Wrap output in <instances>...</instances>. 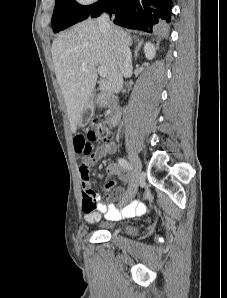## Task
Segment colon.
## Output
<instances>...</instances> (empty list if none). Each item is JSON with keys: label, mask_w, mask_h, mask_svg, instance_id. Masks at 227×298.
Masks as SVG:
<instances>
[{"label": "colon", "mask_w": 227, "mask_h": 298, "mask_svg": "<svg viewBox=\"0 0 227 298\" xmlns=\"http://www.w3.org/2000/svg\"><path fill=\"white\" fill-rule=\"evenodd\" d=\"M86 134L87 139H85V142H109L112 139V133L109 127L101 120H94L87 128ZM111 184L109 183L107 186Z\"/></svg>", "instance_id": "1"}]
</instances>
